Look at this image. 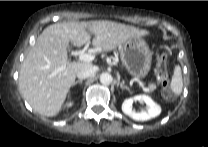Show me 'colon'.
I'll return each instance as SVG.
<instances>
[{
    "label": "colon",
    "instance_id": "obj_1",
    "mask_svg": "<svg viewBox=\"0 0 208 147\" xmlns=\"http://www.w3.org/2000/svg\"><path fill=\"white\" fill-rule=\"evenodd\" d=\"M158 74H159V79L161 80V84L163 85V87H167L168 76H167L165 63L163 62V60H160L158 64Z\"/></svg>",
    "mask_w": 208,
    "mask_h": 147
}]
</instances>
